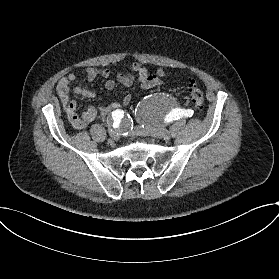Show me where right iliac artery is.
Returning <instances> with one entry per match:
<instances>
[{
  "mask_svg": "<svg viewBox=\"0 0 279 279\" xmlns=\"http://www.w3.org/2000/svg\"><path fill=\"white\" fill-rule=\"evenodd\" d=\"M123 117V111L116 110L112 112V118L114 120L113 127L118 128L120 119Z\"/></svg>",
  "mask_w": 279,
  "mask_h": 279,
  "instance_id": "82829eb1",
  "label": "right iliac artery"
}]
</instances>
